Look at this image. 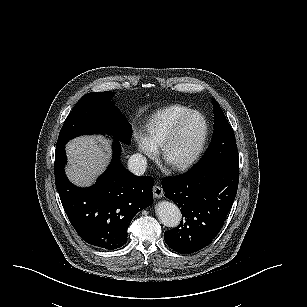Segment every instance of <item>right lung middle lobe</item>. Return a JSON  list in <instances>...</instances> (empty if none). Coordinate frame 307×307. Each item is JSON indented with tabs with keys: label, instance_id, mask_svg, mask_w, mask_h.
Instances as JSON below:
<instances>
[{
	"label": "right lung middle lobe",
	"instance_id": "dd1d6c3e",
	"mask_svg": "<svg viewBox=\"0 0 307 307\" xmlns=\"http://www.w3.org/2000/svg\"><path fill=\"white\" fill-rule=\"evenodd\" d=\"M112 92H90L74 106L62 126L56 148L70 139L93 133H111L115 142L130 144L132 126L111 101Z\"/></svg>",
	"mask_w": 307,
	"mask_h": 307
}]
</instances>
